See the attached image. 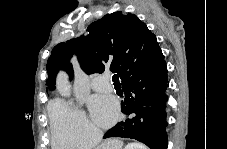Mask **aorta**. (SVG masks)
Instances as JSON below:
<instances>
[{"label": "aorta", "mask_w": 227, "mask_h": 149, "mask_svg": "<svg viewBox=\"0 0 227 149\" xmlns=\"http://www.w3.org/2000/svg\"><path fill=\"white\" fill-rule=\"evenodd\" d=\"M57 90L59 94L64 98H70L71 97V88L67 81V77L64 74H60L58 76L57 81Z\"/></svg>", "instance_id": "aorta-1"}]
</instances>
